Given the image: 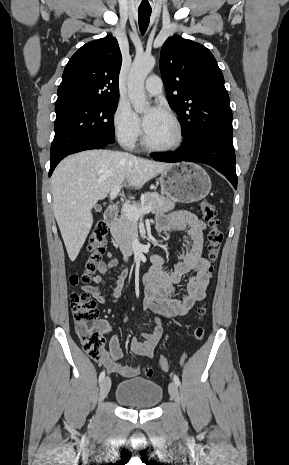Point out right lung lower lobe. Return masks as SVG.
I'll use <instances>...</instances> for the list:
<instances>
[{
  "label": "right lung lower lobe",
  "instance_id": "98d812e1",
  "mask_svg": "<svg viewBox=\"0 0 289 465\" xmlns=\"http://www.w3.org/2000/svg\"><path fill=\"white\" fill-rule=\"evenodd\" d=\"M111 144L110 142L108 141H104V140H91V141H88V142H84L80 145H78L76 148H74L73 150L65 153L64 155L58 157L57 159L53 160V161H50V170H49V177L51 176V174L53 173L55 167L57 166V164L64 158L66 157L67 155H70V154H73V153H77V152H80V151H84V150H89V149H101L107 145Z\"/></svg>",
  "mask_w": 289,
  "mask_h": 465
}]
</instances>
